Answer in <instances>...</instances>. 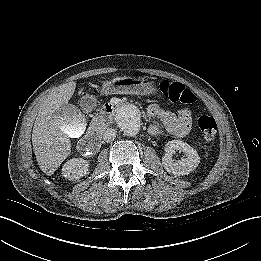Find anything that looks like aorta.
I'll return each mask as SVG.
<instances>
[{"label": "aorta", "instance_id": "aorta-1", "mask_svg": "<svg viewBox=\"0 0 261 261\" xmlns=\"http://www.w3.org/2000/svg\"><path fill=\"white\" fill-rule=\"evenodd\" d=\"M118 126L129 136H135L141 128V114L133 104L122 106L116 114Z\"/></svg>", "mask_w": 261, "mask_h": 261}]
</instances>
